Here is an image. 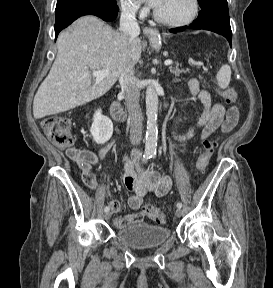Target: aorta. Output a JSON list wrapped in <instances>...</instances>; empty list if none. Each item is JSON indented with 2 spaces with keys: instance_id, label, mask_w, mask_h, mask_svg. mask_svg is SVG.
<instances>
[{
  "instance_id": "762f6f07",
  "label": "aorta",
  "mask_w": 273,
  "mask_h": 288,
  "mask_svg": "<svg viewBox=\"0 0 273 288\" xmlns=\"http://www.w3.org/2000/svg\"><path fill=\"white\" fill-rule=\"evenodd\" d=\"M157 112L158 96L154 87L149 86L146 89V115L147 130L145 141V154L154 155L157 147Z\"/></svg>"
}]
</instances>
